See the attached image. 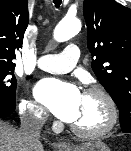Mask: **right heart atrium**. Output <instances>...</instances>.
<instances>
[{"instance_id": "obj_1", "label": "right heart atrium", "mask_w": 131, "mask_h": 151, "mask_svg": "<svg viewBox=\"0 0 131 151\" xmlns=\"http://www.w3.org/2000/svg\"><path fill=\"white\" fill-rule=\"evenodd\" d=\"M19 112L27 120L42 123L46 118L45 110L36 102L24 97L19 103Z\"/></svg>"}]
</instances>
